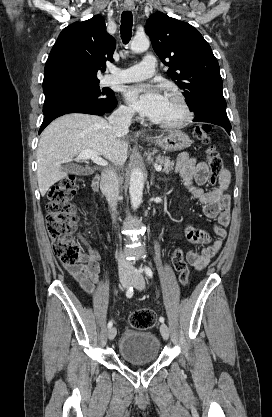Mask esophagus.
<instances>
[{
  "label": "esophagus",
  "instance_id": "1",
  "mask_svg": "<svg viewBox=\"0 0 272 417\" xmlns=\"http://www.w3.org/2000/svg\"><path fill=\"white\" fill-rule=\"evenodd\" d=\"M124 8L128 11H131L134 9V5L132 3H125Z\"/></svg>",
  "mask_w": 272,
  "mask_h": 417
}]
</instances>
